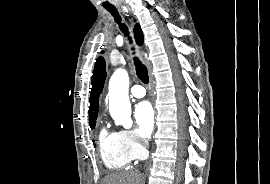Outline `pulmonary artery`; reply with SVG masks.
<instances>
[{"mask_svg":"<svg viewBox=\"0 0 270 184\" xmlns=\"http://www.w3.org/2000/svg\"><path fill=\"white\" fill-rule=\"evenodd\" d=\"M145 94L146 91L141 85H134L131 88V95L135 98H143Z\"/></svg>","mask_w":270,"mask_h":184,"instance_id":"1","label":"pulmonary artery"}]
</instances>
